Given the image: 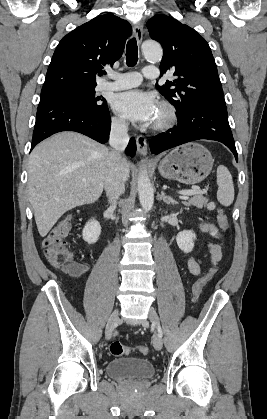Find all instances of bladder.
I'll return each mask as SVG.
<instances>
[{
	"label": "bladder",
	"instance_id": "1",
	"mask_svg": "<svg viewBox=\"0 0 267 419\" xmlns=\"http://www.w3.org/2000/svg\"><path fill=\"white\" fill-rule=\"evenodd\" d=\"M105 371L109 377L119 380H145L155 374V368L148 359L136 357L112 359L106 364Z\"/></svg>",
	"mask_w": 267,
	"mask_h": 419
}]
</instances>
